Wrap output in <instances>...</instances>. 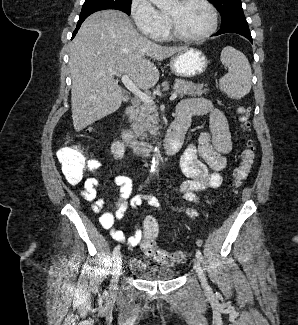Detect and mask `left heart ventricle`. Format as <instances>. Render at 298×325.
<instances>
[{
	"label": "left heart ventricle",
	"mask_w": 298,
	"mask_h": 325,
	"mask_svg": "<svg viewBox=\"0 0 298 325\" xmlns=\"http://www.w3.org/2000/svg\"><path fill=\"white\" fill-rule=\"evenodd\" d=\"M162 8L169 11L180 33L194 37L205 32L210 19L206 9L193 0L183 3L162 1Z\"/></svg>",
	"instance_id": "left-heart-ventricle-1"
}]
</instances>
